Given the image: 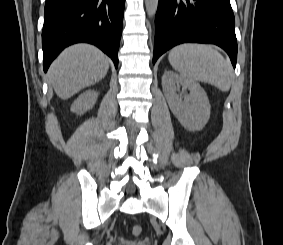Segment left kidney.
<instances>
[{
    "instance_id": "left-kidney-1",
    "label": "left kidney",
    "mask_w": 283,
    "mask_h": 245,
    "mask_svg": "<svg viewBox=\"0 0 283 245\" xmlns=\"http://www.w3.org/2000/svg\"><path fill=\"white\" fill-rule=\"evenodd\" d=\"M180 86L185 92L183 100L177 94ZM162 87L168 105L181 125L189 131L203 129L210 118V103L204 89L197 82L173 71L163 74Z\"/></svg>"
}]
</instances>
